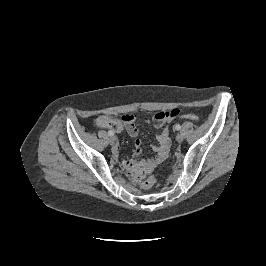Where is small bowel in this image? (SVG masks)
Here are the masks:
<instances>
[{
  "label": "small bowel",
  "mask_w": 266,
  "mask_h": 266,
  "mask_svg": "<svg viewBox=\"0 0 266 266\" xmlns=\"http://www.w3.org/2000/svg\"><path fill=\"white\" fill-rule=\"evenodd\" d=\"M178 115V109L159 112L155 115V122L157 126L162 128V131L157 136L158 143L154 147L156 152L155 157L150 160H133L122 162L123 170L134 180L141 179L144 175L150 173L158 164L165 160L171 143L169 138V130L166 124L172 121ZM136 119L137 117L134 114H126L121 119L100 116L96 119V125L101 128L114 129L117 132L125 129L131 137L135 138V154L139 155L141 153L142 143L137 138L138 128L136 126ZM119 150V146L115 145L113 148V154L118 156Z\"/></svg>",
  "instance_id": "1"
}]
</instances>
